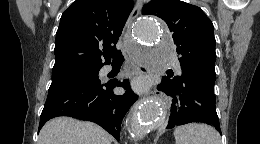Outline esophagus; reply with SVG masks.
<instances>
[{
  "mask_svg": "<svg viewBox=\"0 0 260 144\" xmlns=\"http://www.w3.org/2000/svg\"><path fill=\"white\" fill-rule=\"evenodd\" d=\"M143 5V0H137L133 11L131 12L122 32L121 42L124 43L126 36L130 33L131 25L135 21V19L139 16ZM135 70L138 74L148 76L150 74L149 68L144 64H135ZM154 96L159 95V91L157 89L152 91Z\"/></svg>",
  "mask_w": 260,
  "mask_h": 144,
  "instance_id": "obj_1",
  "label": "esophagus"
}]
</instances>
